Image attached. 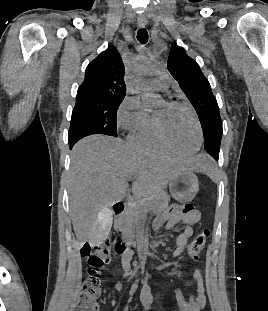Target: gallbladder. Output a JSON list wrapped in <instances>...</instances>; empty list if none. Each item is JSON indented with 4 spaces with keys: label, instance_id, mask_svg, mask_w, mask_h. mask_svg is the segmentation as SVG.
<instances>
[{
    "label": "gallbladder",
    "instance_id": "gallbladder-1",
    "mask_svg": "<svg viewBox=\"0 0 268 311\" xmlns=\"http://www.w3.org/2000/svg\"><path fill=\"white\" fill-rule=\"evenodd\" d=\"M98 213L94 227L90 233V245L94 247L103 245L102 239L106 238V234H110L111 229L109 226L112 225V212L109 207H106V209H99Z\"/></svg>",
    "mask_w": 268,
    "mask_h": 311
}]
</instances>
